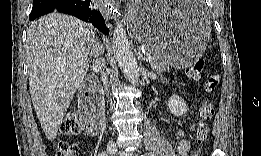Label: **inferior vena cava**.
Segmentation results:
<instances>
[{"instance_id": "obj_1", "label": "inferior vena cava", "mask_w": 261, "mask_h": 156, "mask_svg": "<svg viewBox=\"0 0 261 156\" xmlns=\"http://www.w3.org/2000/svg\"><path fill=\"white\" fill-rule=\"evenodd\" d=\"M95 64L101 68L104 65V59L96 58ZM101 80L105 85V87L107 88V73H105L104 71L101 72Z\"/></svg>"}]
</instances>
